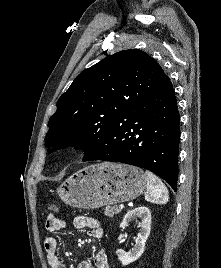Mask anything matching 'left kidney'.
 Segmentation results:
<instances>
[{
    "mask_svg": "<svg viewBox=\"0 0 221 268\" xmlns=\"http://www.w3.org/2000/svg\"><path fill=\"white\" fill-rule=\"evenodd\" d=\"M139 218L141 220V228L137 234L134 247L129 251L125 252L122 249H117L116 254L119 261L122 265L126 266L134 261H136L142 253L144 252L145 243L150 235L151 230V212L147 207L141 206L129 211L123 218V221L120 224L121 228L128 226V223L135 219Z\"/></svg>",
    "mask_w": 221,
    "mask_h": 268,
    "instance_id": "5707ae66",
    "label": "left kidney"
}]
</instances>
